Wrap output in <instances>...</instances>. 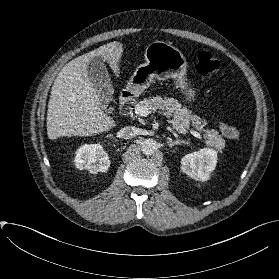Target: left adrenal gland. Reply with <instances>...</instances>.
Here are the masks:
<instances>
[{"label": "left adrenal gland", "instance_id": "obj_1", "mask_svg": "<svg viewBox=\"0 0 279 279\" xmlns=\"http://www.w3.org/2000/svg\"><path fill=\"white\" fill-rule=\"evenodd\" d=\"M168 146L169 147H172V146H175V145H179V144H188V142L186 140H181V139H176V140H169L168 142Z\"/></svg>", "mask_w": 279, "mask_h": 279}]
</instances>
